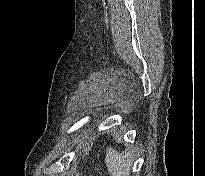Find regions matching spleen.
Wrapping results in <instances>:
<instances>
[{
	"label": "spleen",
	"instance_id": "obj_1",
	"mask_svg": "<svg viewBox=\"0 0 205 176\" xmlns=\"http://www.w3.org/2000/svg\"><path fill=\"white\" fill-rule=\"evenodd\" d=\"M105 162L110 176H129L133 163V154L129 149L123 153L108 149Z\"/></svg>",
	"mask_w": 205,
	"mask_h": 176
}]
</instances>
